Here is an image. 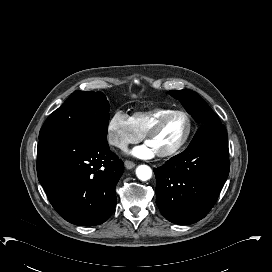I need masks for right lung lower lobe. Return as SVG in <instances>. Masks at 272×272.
Listing matches in <instances>:
<instances>
[{
    "instance_id": "right-lung-lower-lobe-1",
    "label": "right lung lower lobe",
    "mask_w": 272,
    "mask_h": 272,
    "mask_svg": "<svg viewBox=\"0 0 272 272\" xmlns=\"http://www.w3.org/2000/svg\"><path fill=\"white\" fill-rule=\"evenodd\" d=\"M123 171L106 138L96 134L59 133L37 147L38 179L54 209L75 225H99L110 217Z\"/></svg>"
}]
</instances>
